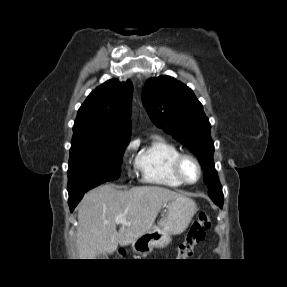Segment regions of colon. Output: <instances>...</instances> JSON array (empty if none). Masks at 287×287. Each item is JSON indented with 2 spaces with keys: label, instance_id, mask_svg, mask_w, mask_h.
Wrapping results in <instances>:
<instances>
[{
  "label": "colon",
  "instance_id": "5ec220e1",
  "mask_svg": "<svg viewBox=\"0 0 287 287\" xmlns=\"http://www.w3.org/2000/svg\"><path fill=\"white\" fill-rule=\"evenodd\" d=\"M210 225L209 215L203 211L199 212L185 240L178 247L179 259L186 260L193 254L194 247L204 239L206 230Z\"/></svg>",
  "mask_w": 287,
  "mask_h": 287
}]
</instances>
